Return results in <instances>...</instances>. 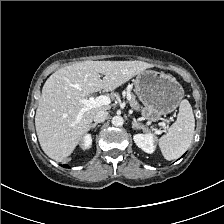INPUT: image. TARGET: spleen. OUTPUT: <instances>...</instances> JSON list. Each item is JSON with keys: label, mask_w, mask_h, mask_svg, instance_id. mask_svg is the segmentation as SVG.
<instances>
[{"label": "spleen", "mask_w": 224, "mask_h": 224, "mask_svg": "<svg viewBox=\"0 0 224 224\" xmlns=\"http://www.w3.org/2000/svg\"><path fill=\"white\" fill-rule=\"evenodd\" d=\"M195 129V119L188 100L180 102L177 120L168 132L159 139V148L168 161L182 156L190 147Z\"/></svg>", "instance_id": "3e777b00"}]
</instances>
